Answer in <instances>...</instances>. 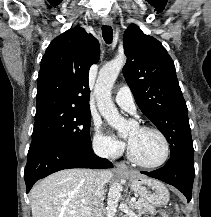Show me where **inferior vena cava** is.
I'll list each match as a JSON object with an SVG mask.
<instances>
[{"label": "inferior vena cava", "instance_id": "inferior-vena-cava-1", "mask_svg": "<svg viewBox=\"0 0 211 217\" xmlns=\"http://www.w3.org/2000/svg\"><path fill=\"white\" fill-rule=\"evenodd\" d=\"M94 152L97 155L105 158L108 156V147L104 144L95 146ZM103 194H104V181L101 177V174L98 173L93 186V197H92V207H91L90 217H103L102 216Z\"/></svg>", "mask_w": 211, "mask_h": 217}]
</instances>
